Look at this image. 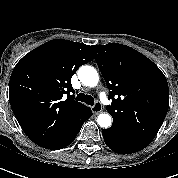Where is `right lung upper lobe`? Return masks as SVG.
<instances>
[{
	"mask_svg": "<svg viewBox=\"0 0 178 178\" xmlns=\"http://www.w3.org/2000/svg\"><path fill=\"white\" fill-rule=\"evenodd\" d=\"M93 57L91 46L59 39L32 50L15 66L9 82L10 105L37 145L68 138L91 111L74 100L71 78Z\"/></svg>",
	"mask_w": 178,
	"mask_h": 178,
	"instance_id": "right-lung-upper-lobe-1",
	"label": "right lung upper lobe"
}]
</instances>
